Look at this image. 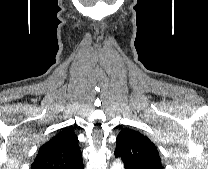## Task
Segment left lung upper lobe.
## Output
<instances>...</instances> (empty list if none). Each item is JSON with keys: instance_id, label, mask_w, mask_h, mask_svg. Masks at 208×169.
Listing matches in <instances>:
<instances>
[{"instance_id": "5c2ea615", "label": "left lung upper lobe", "mask_w": 208, "mask_h": 169, "mask_svg": "<svg viewBox=\"0 0 208 169\" xmlns=\"http://www.w3.org/2000/svg\"><path fill=\"white\" fill-rule=\"evenodd\" d=\"M115 152L133 168L163 169L155 144L135 130L125 128L118 134Z\"/></svg>"}]
</instances>
